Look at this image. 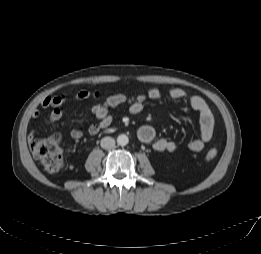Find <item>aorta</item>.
<instances>
[{
  "instance_id": "obj_1",
  "label": "aorta",
  "mask_w": 261,
  "mask_h": 254,
  "mask_svg": "<svg viewBox=\"0 0 261 254\" xmlns=\"http://www.w3.org/2000/svg\"><path fill=\"white\" fill-rule=\"evenodd\" d=\"M128 142H129V138L125 134H120L117 137V144L120 146H126L128 144Z\"/></svg>"
}]
</instances>
